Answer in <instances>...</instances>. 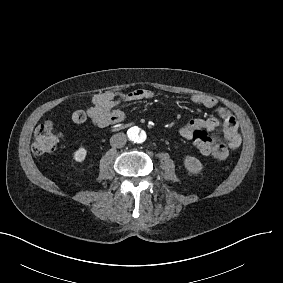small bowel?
Masks as SVG:
<instances>
[{"label": "small bowel", "mask_w": 283, "mask_h": 283, "mask_svg": "<svg viewBox=\"0 0 283 283\" xmlns=\"http://www.w3.org/2000/svg\"><path fill=\"white\" fill-rule=\"evenodd\" d=\"M157 97V93L148 89H134L131 91L111 90L95 94L92 104L88 109L92 122L99 128H106L124 121L126 114L116 106L121 103H136ZM193 103L206 108L214 109L215 116L207 119H195L182 126L179 133L187 139V132L192 127H199L206 132H213L222 126V139L213 136L214 148L209 155L217 160H226L230 151L235 150L242 144V136L239 132L238 123L234 114L227 108L221 106L218 100L210 95L194 94Z\"/></svg>", "instance_id": "obj_1"}]
</instances>
